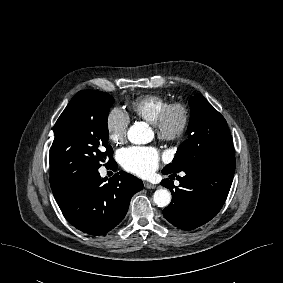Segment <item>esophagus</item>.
Instances as JSON below:
<instances>
[{"label": "esophagus", "instance_id": "34e87169", "mask_svg": "<svg viewBox=\"0 0 283 283\" xmlns=\"http://www.w3.org/2000/svg\"><path fill=\"white\" fill-rule=\"evenodd\" d=\"M144 187L147 188V189H155V188H156V185H155V184H152V183H150V182L145 181V182H144Z\"/></svg>", "mask_w": 283, "mask_h": 283}]
</instances>
